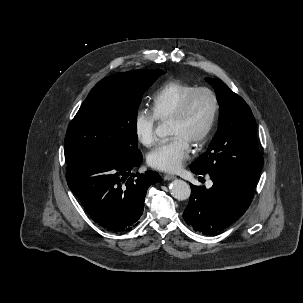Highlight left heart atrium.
Segmentation results:
<instances>
[{"instance_id":"39dd6f15","label":"left heart atrium","mask_w":303,"mask_h":303,"mask_svg":"<svg viewBox=\"0 0 303 303\" xmlns=\"http://www.w3.org/2000/svg\"><path fill=\"white\" fill-rule=\"evenodd\" d=\"M190 151L191 143L183 136L176 135L150 152L148 163L157 170L175 172L182 167Z\"/></svg>"}]
</instances>
